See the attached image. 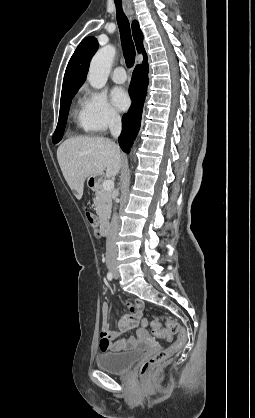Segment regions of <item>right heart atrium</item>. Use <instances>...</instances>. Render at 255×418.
<instances>
[{"label": "right heart atrium", "instance_id": "right-heart-atrium-1", "mask_svg": "<svg viewBox=\"0 0 255 418\" xmlns=\"http://www.w3.org/2000/svg\"><path fill=\"white\" fill-rule=\"evenodd\" d=\"M120 120L118 112L109 103L104 92L84 89L81 103L82 127L91 132H102Z\"/></svg>", "mask_w": 255, "mask_h": 418}]
</instances>
